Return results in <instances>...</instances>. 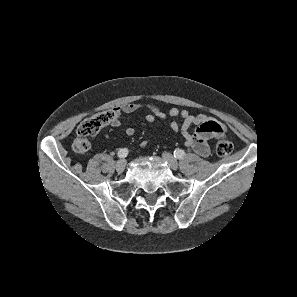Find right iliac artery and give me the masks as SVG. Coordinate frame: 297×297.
Returning a JSON list of instances; mask_svg holds the SVG:
<instances>
[{
  "instance_id": "right-iliac-artery-1",
  "label": "right iliac artery",
  "mask_w": 297,
  "mask_h": 297,
  "mask_svg": "<svg viewBox=\"0 0 297 297\" xmlns=\"http://www.w3.org/2000/svg\"><path fill=\"white\" fill-rule=\"evenodd\" d=\"M128 155V149L122 148L118 151L119 158H125Z\"/></svg>"
}]
</instances>
